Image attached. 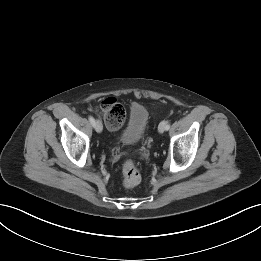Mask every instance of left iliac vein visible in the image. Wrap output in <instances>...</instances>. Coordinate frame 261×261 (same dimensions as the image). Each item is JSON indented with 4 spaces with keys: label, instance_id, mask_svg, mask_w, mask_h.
Listing matches in <instances>:
<instances>
[{
    "label": "left iliac vein",
    "instance_id": "1",
    "mask_svg": "<svg viewBox=\"0 0 261 261\" xmlns=\"http://www.w3.org/2000/svg\"><path fill=\"white\" fill-rule=\"evenodd\" d=\"M166 125H167V121H162L159 126H158V131L160 133H163L164 131H166Z\"/></svg>",
    "mask_w": 261,
    "mask_h": 261
}]
</instances>
